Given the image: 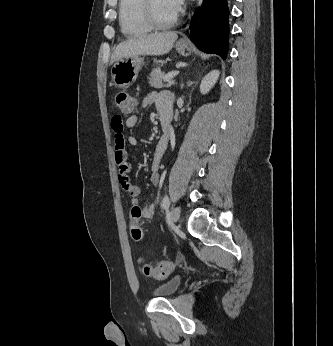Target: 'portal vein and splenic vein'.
Returning a JSON list of instances; mask_svg holds the SVG:
<instances>
[{
	"label": "portal vein and splenic vein",
	"instance_id": "portal-vein-and-splenic-vein-1",
	"mask_svg": "<svg viewBox=\"0 0 333 346\" xmlns=\"http://www.w3.org/2000/svg\"><path fill=\"white\" fill-rule=\"evenodd\" d=\"M178 73H179V71L171 72V73H169V74H167V75L165 76L164 80H165L166 82H169V81H171L175 76H177Z\"/></svg>",
	"mask_w": 333,
	"mask_h": 346
}]
</instances>
